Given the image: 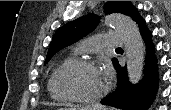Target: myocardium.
I'll return each instance as SVG.
<instances>
[{"label":"myocardium","mask_w":171,"mask_h":110,"mask_svg":"<svg viewBox=\"0 0 171 110\" xmlns=\"http://www.w3.org/2000/svg\"><path fill=\"white\" fill-rule=\"evenodd\" d=\"M79 66L99 70V68L95 65L94 62L87 60V59L73 58V59H69V60L65 61L56 69L54 78H53V85H54V88H55L57 94L60 97L66 99L68 101L78 102V103H95V102L100 101L102 98H104L107 95V93L110 90L109 82L106 83L105 88L99 94H97L95 96H91V97L78 96V95L71 94V93L67 92L62 87L61 82H60L62 74L68 68L79 67Z\"/></svg>","instance_id":"1"}]
</instances>
